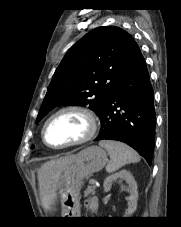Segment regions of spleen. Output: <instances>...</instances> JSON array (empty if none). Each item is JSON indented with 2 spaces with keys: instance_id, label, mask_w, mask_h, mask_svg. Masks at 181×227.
<instances>
[{
  "instance_id": "3e777b00",
  "label": "spleen",
  "mask_w": 181,
  "mask_h": 227,
  "mask_svg": "<svg viewBox=\"0 0 181 227\" xmlns=\"http://www.w3.org/2000/svg\"><path fill=\"white\" fill-rule=\"evenodd\" d=\"M99 145L105 148L110 155L111 161L106 166L108 173L115 172L126 164L140 161L139 154L122 142L103 140L99 142Z\"/></svg>"
}]
</instances>
